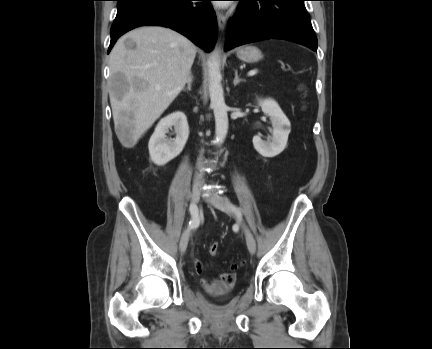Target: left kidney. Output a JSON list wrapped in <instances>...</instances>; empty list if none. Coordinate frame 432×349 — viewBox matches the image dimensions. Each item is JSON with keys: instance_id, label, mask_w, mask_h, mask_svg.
Segmentation results:
<instances>
[{"instance_id": "1", "label": "left kidney", "mask_w": 432, "mask_h": 349, "mask_svg": "<svg viewBox=\"0 0 432 349\" xmlns=\"http://www.w3.org/2000/svg\"><path fill=\"white\" fill-rule=\"evenodd\" d=\"M258 104L262 111L270 117L273 132L272 137L267 141H263L259 136H254L253 145L260 155L272 158L279 155L286 147L291 131L290 121L275 100L258 99Z\"/></svg>"}]
</instances>
